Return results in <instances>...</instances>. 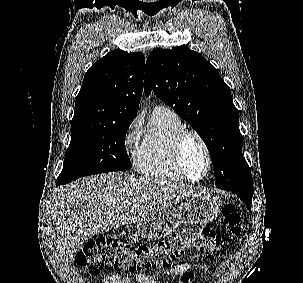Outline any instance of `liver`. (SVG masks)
I'll list each match as a JSON object with an SVG mask.
<instances>
[{
  "mask_svg": "<svg viewBox=\"0 0 303 283\" xmlns=\"http://www.w3.org/2000/svg\"><path fill=\"white\" fill-rule=\"evenodd\" d=\"M199 191L183 183L119 172L81 178L58 190L53 206L56 249L68 264L75 247L88 237L138 222L172 200Z\"/></svg>",
  "mask_w": 303,
  "mask_h": 283,
  "instance_id": "liver-1",
  "label": "liver"
}]
</instances>
